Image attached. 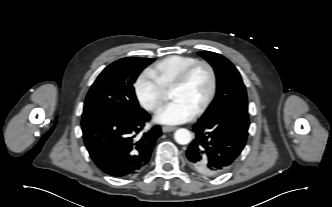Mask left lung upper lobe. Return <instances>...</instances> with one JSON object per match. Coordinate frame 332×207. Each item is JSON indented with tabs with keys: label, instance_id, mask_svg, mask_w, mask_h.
<instances>
[{
	"label": "left lung upper lobe",
	"instance_id": "5c2ea615",
	"mask_svg": "<svg viewBox=\"0 0 332 207\" xmlns=\"http://www.w3.org/2000/svg\"><path fill=\"white\" fill-rule=\"evenodd\" d=\"M199 55L213 66L217 77L216 96L201 119L209 120L231 110L247 111L245 85L235 66L228 59L214 52L202 51Z\"/></svg>",
	"mask_w": 332,
	"mask_h": 207
}]
</instances>
